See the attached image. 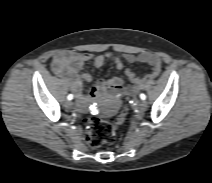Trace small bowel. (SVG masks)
Here are the masks:
<instances>
[{
	"label": "small bowel",
	"mask_w": 212,
	"mask_h": 183,
	"mask_svg": "<svg viewBox=\"0 0 212 183\" xmlns=\"http://www.w3.org/2000/svg\"><path fill=\"white\" fill-rule=\"evenodd\" d=\"M123 58L128 63H145L152 68V73L157 74L161 70V59L158 55L150 52H144L139 55L126 53ZM107 60H111L117 70L123 69V60L120 56L111 52L92 55L90 53H78L75 51H65L57 53L52 60L54 72L64 79L77 96L78 108L84 110L88 101L99 96L102 93H111L114 95L133 94L141 90L144 86L143 79L138 77L133 71L126 70L125 74L131 85L125 86L121 77H103L92 89L89 97L82 93L83 83H89L91 76L88 73H80L82 67L93 61L94 67L101 68Z\"/></svg>",
	"instance_id": "c3829d8e"
}]
</instances>
